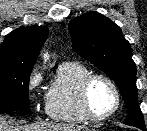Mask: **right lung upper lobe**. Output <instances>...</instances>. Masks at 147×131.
Listing matches in <instances>:
<instances>
[{
  "instance_id": "right-lung-upper-lobe-1",
  "label": "right lung upper lobe",
  "mask_w": 147,
  "mask_h": 131,
  "mask_svg": "<svg viewBox=\"0 0 147 131\" xmlns=\"http://www.w3.org/2000/svg\"><path fill=\"white\" fill-rule=\"evenodd\" d=\"M44 26L19 28L0 45V69H32L48 37Z\"/></svg>"
}]
</instances>
